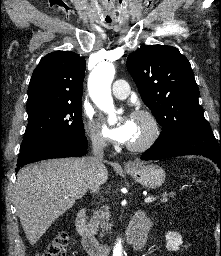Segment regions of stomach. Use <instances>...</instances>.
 <instances>
[{
	"instance_id": "obj_1",
	"label": "stomach",
	"mask_w": 221,
	"mask_h": 256,
	"mask_svg": "<svg viewBox=\"0 0 221 256\" xmlns=\"http://www.w3.org/2000/svg\"><path fill=\"white\" fill-rule=\"evenodd\" d=\"M127 173L141 185L147 188L156 189L162 186L165 181V171L157 165H136L127 167Z\"/></svg>"
}]
</instances>
